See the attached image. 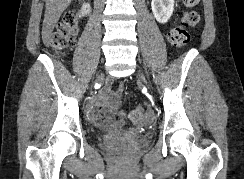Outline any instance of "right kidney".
Listing matches in <instances>:
<instances>
[{
	"label": "right kidney",
	"instance_id": "obj_1",
	"mask_svg": "<svg viewBox=\"0 0 244 179\" xmlns=\"http://www.w3.org/2000/svg\"><path fill=\"white\" fill-rule=\"evenodd\" d=\"M82 10H84V8H82ZM82 10H81V12H79V14H78V18H82V16H83V12H82Z\"/></svg>",
	"mask_w": 244,
	"mask_h": 179
}]
</instances>
